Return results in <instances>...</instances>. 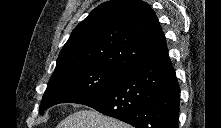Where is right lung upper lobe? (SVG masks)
Masks as SVG:
<instances>
[{
	"instance_id": "right-lung-upper-lobe-1",
	"label": "right lung upper lobe",
	"mask_w": 221,
	"mask_h": 128,
	"mask_svg": "<svg viewBox=\"0 0 221 128\" xmlns=\"http://www.w3.org/2000/svg\"><path fill=\"white\" fill-rule=\"evenodd\" d=\"M155 12L141 0H111L80 22L62 48L55 71L94 65L128 72L167 52Z\"/></svg>"
}]
</instances>
